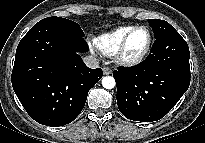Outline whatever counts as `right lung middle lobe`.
<instances>
[{
    "instance_id": "1",
    "label": "right lung middle lobe",
    "mask_w": 205,
    "mask_h": 143,
    "mask_svg": "<svg viewBox=\"0 0 205 143\" xmlns=\"http://www.w3.org/2000/svg\"><path fill=\"white\" fill-rule=\"evenodd\" d=\"M43 23H51V24H55L57 26H60L78 36L83 37L84 36V32L81 30L80 26L78 23L73 22L71 20L65 19V18H61V17H47L45 19H42L40 22H38L37 24H43Z\"/></svg>"
}]
</instances>
